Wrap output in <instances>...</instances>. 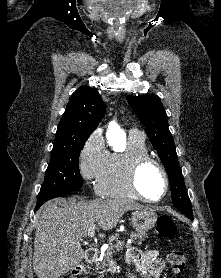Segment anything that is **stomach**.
Here are the masks:
<instances>
[{"label": "stomach", "mask_w": 221, "mask_h": 278, "mask_svg": "<svg viewBox=\"0 0 221 278\" xmlns=\"http://www.w3.org/2000/svg\"><path fill=\"white\" fill-rule=\"evenodd\" d=\"M157 215L151 209L137 210L132 213V225L138 233H144L155 227Z\"/></svg>", "instance_id": "1"}]
</instances>
